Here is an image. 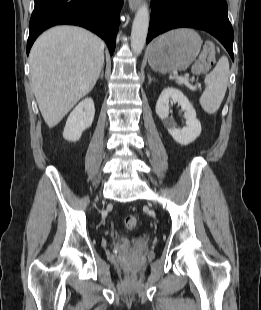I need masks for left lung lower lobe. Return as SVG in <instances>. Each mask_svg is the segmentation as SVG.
Returning <instances> with one entry per match:
<instances>
[{
    "label": "left lung lower lobe",
    "mask_w": 261,
    "mask_h": 310,
    "mask_svg": "<svg viewBox=\"0 0 261 310\" xmlns=\"http://www.w3.org/2000/svg\"><path fill=\"white\" fill-rule=\"evenodd\" d=\"M227 11L226 0H152L146 42L174 28H197L216 37L234 60V32Z\"/></svg>",
    "instance_id": "0a47b994"
}]
</instances>
